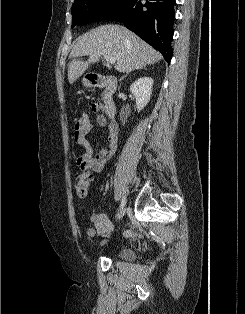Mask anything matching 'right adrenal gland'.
<instances>
[{"instance_id":"right-adrenal-gland-1","label":"right adrenal gland","mask_w":245,"mask_h":314,"mask_svg":"<svg viewBox=\"0 0 245 314\" xmlns=\"http://www.w3.org/2000/svg\"><path fill=\"white\" fill-rule=\"evenodd\" d=\"M141 69H143V68H139V70H141ZM126 76H127V75L123 76V77L120 79V81H122Z\"/></svg>"}]
</instances>
